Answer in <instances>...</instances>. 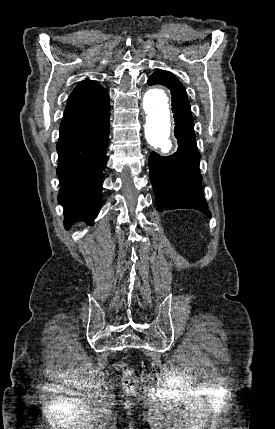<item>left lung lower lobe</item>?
<instances>
[{
  "mask_svg": "<svg viewBox=\"0 0 275 429\" xmlns=\"http://www.w3.org/2000/svg\"><path fill=\"white\" fill-rule=\"evenodd\" d=\"M166 86L172 95L175 137L178 150L170 156L152 152L149 158L150 181L156 195L157 210L193 208L211 217L201 187L200 154L196 146L194 121L185 88L168 71L153 73L148 85Z\"/></svg>",
  "mask_w": 275,
  "mask_h": 429,
  "instance_id": "1",
  "label": "left lung lower lobe"
}]
</instances>
